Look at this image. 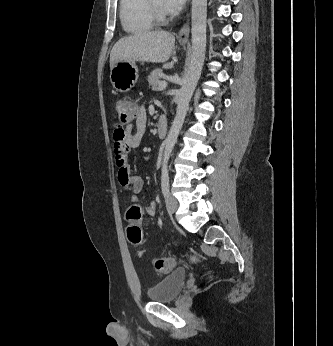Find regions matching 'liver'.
Instances as JSON below:
<instances>
[{
    "label": "liver",
    "instance_id": "obj_1",
    "mask_svg": "<svg viewBox=\"0 0 333 346\" xmlns=\"http://www.w3.org/2000/svg\"><path fill=\"white\" fill-rule=\"evenodd\" d=\"M174 44V35L166 31H144L123 37L112 48L110 68L119 61L165 63Z\"/></svg>",
    "mask_w": 333,
    "mask_h": 346
}]
</instances>
